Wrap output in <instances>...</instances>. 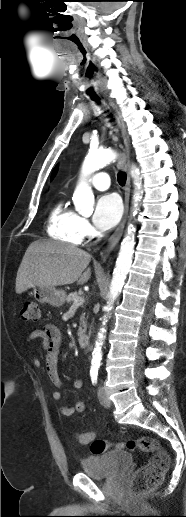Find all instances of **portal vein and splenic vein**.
Here are the masks:
<instances>
[{
    "label": "portal vein and splenic vein",
    "instance_id": "obj_1",
    "mask_svg": "<svg viewBox=\"0 0 186 517\" xmlns=\"http://www.w3.org/2000/svg\"><path fill=\"white\" fill-rule=\"evenodd\" d=\"M83 303H84L83 297L76 298V299H74L72 307H78V306L82 305Z\"/></svg>",
    "mask_w": 186,
    "mask_h": 517
}]
</instances>
